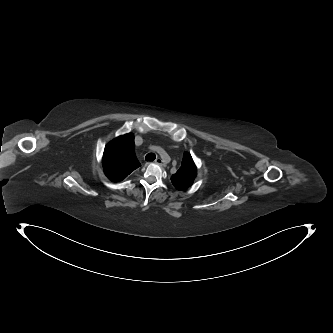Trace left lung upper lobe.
<instances>
[{
    "mask_svg": "<svg viewBox=\"0 0 333 333\" xmlns=\"http://www.w3.org/2000/svg\"><path fill=\"white\" fill-rule=\"evenodd\" d=\"M196 166L189 153H184L181 167L172 175L171 181L177 190H185L189 188L196 176Z\"/></svg>",
    "mask_w": 333,
    "mask_h": 333,
    "instance_id": "obj_1",
    "label": "left lung upper lobe"
}]
</instances>
